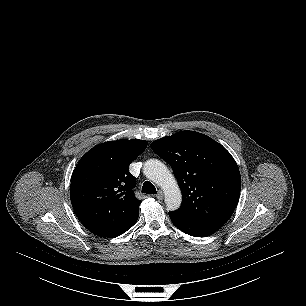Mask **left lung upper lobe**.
Here are the masks:
<instances>
[{"label": "left lung upper lobe", "mask_w": 306, "mask_h": 306, "mask_svg": "<svg viewBox=\"0 0 306 306\" xmlns=\"http://www.w3.org/2000/svg\"><path fill=\"white\" fill-rule=\"evenodd\" d=\"M151 148L172 167L180 185L182 205L174 212L192 222L223 226L241 190L240 172L231 154L194 131L155 140Z\"/></svg>", "instance_id": "1"}]
</instances>
